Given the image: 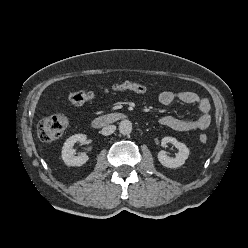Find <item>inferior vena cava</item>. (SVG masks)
<instances>
[{
	"mask_svg": "<svg viewBox=\"0 0 248 248\" xmlns=\"http://www.w3.org/2000/svg\"><path fill=\"white\" fill-rule=\"evenodd\" d=\"M115 130H116L115 125H108L102 129L101 133L104 136H108V135H111L112 133H114Z\"/></svg>",
	"mask_w": 248,
	"mask_h": 248,
	"instance_id": "602c4592",
	"label": "inferior vena cava"
}]
</instances>
